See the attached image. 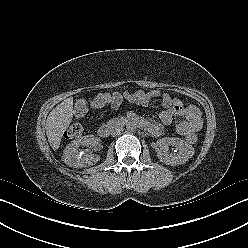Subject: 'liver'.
Listing matches in <instances>:
<instances>
[{"mask_svg": "<svg viewBox=\"0 0 248 248\" xmlns=\"http://www.w3.org/2000/svg\"><path fill=\"white\" fill-rule=\"evenodd\" d=\"M73 118V98H67L49 113L46 120V135L50 146L57 150L62 135Z\"/></svg>", "mask_w": 248, "mask_h": 248, "instance_id": "liver-1", "label": "liver"}]
</instances>
